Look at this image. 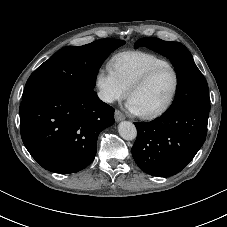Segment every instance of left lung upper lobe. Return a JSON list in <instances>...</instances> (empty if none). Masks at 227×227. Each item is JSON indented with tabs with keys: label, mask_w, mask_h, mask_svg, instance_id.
Returning a JSON list of instances; mask_svg holds the SVG:
<instances>
[{
	"label": "left lung upper lobe",
	"mask_w": 227,
	"mask_h": 227,
	"mask_svg": "<svg viewBox=\"0 0 227 227\" xmlns=\"http://www.w3.org/2000/svg\"><path fill=\"white\" fill-rule=\"evenodd\" d=\"M139 46H145L167 57L177 73L176 97L171 107L165 112L183 108L210 110L207 82L184 45L154 37H145L135 43V48Z\"/></svg>",
	"instance_id": "1"
}]
</instances>
